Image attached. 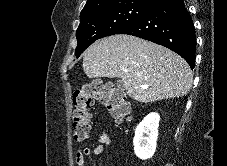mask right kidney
I'll use <instances>...</instances> for the list:
<instances>
[{
  "label": "right kidney",
  "mask_w": 227,
  "mask_h": 166,
  "mask_svg": "<svg viewBox=\"0 0 227 166\" xmlns=\"http://www.w3.org/2000/svg\"><path fill=\"white\" fill-rule=\"evenodd\" d=\"M159 121L160 115L152 112L136 127L133 145L138 158L147 160L154 155L157 146Z\"/></svg>",
  "instance_id": "1"
}]
</instances>
